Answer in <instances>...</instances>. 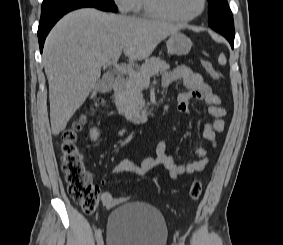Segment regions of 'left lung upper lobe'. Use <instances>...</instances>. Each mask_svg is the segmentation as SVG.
Instances as JSON below:
<instances>
[{
	"instance_id": "left-lung-upper-lobe-1",
	"label": "left lung upper lobe",
	"mask_w": 283,
	"mask_h": 245,
	"mask_svg": "<svg viewBox=\"0 0 283 245\" xmlns=\"http://www.w3.org/2000/svg\"><path fill=\"white\" fill-rule=\"evenodd\" d=\"M208 24L222 35L234 36V22L227 0H208Z\"/></svg>"
}]
</instances>
